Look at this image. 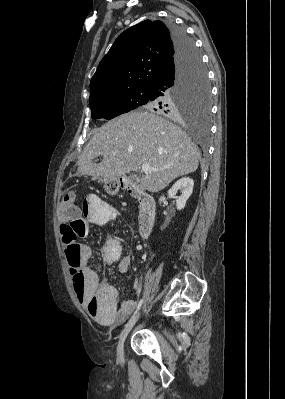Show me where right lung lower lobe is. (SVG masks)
<instances>
[{"label": "right lung lower lobe", "mask_w": 285, "mask_h": 399, "mask_svg": "<svg viewBox=\"0 0 285 399\" xmlns=\"http://www.w3.org/2000/svg\"><path fill=\"white\" fill-rule=\"evenodd\" d=\"M168 28L174 43L175 55L167 67L154 78L149 87L155 97H165L168 91L177 85L196 56L197 51L194 42L188 37L183 28L172 23ZM164 105L171 112V109H173L172 102L165 99Z\"/></svg>", "instance_id": "98d812e1"}]
</instances>
